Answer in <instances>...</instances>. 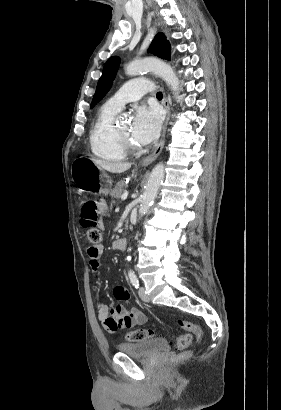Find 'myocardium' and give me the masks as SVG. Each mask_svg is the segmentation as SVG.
Wrapping results in <instances>:
<instances>
[{"label": "myocardium", "mask_w": 281, "mask_h": 410, "mask_svg": "<svg viewBox=\"0 0 281 410\" xmlns=\"http://www.w3.org/2000/svg\"><path fill=\"white\" fill-rule=\"evenodd\" d=\"M117 134L123 143L124 147L130 151H135L137 147L134 145V143L131 141L129 136H126L120 132V130L117 129Z\"/></svg>", "instance_id": "1"}]
</instances>
